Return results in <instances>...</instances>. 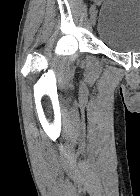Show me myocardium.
<instances>
[{
  "instance_id": "obj_1",
  "label": "myocardium",
  "mask_w": 140,
  "mask_h": 196,
  "mask_svg": "<svg viewBox=\"0 0 140 196\" xmlns=\"http://www.w3.org/2000/svg\"><path fill=\"white\" fill-rule=\"evenodd\" d=\"M94 192H118V191H94Z\"/></svg>"
}]
</instances>
